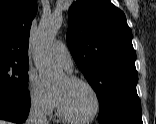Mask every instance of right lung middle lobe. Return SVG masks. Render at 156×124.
Masks as SVG:
<instances>
[{"mask_svg": "<svg viewBox=\"0 0 156 124\" xmlns=\"http://www.w3.org/2000/svg\"><path fill=\"white\" fill-rule=\"evenodd\" d=\"M28 69L29 63L0 62V91L29 96Z\"/></svg>", "mask_w": 156, "mask_h": 124, "instance_id": "dd1d6c3e", "label": "right lung middle lobe"}]
</instances>
